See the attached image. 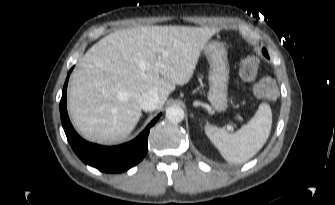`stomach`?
<instances>
[{
	"instance_id": "stomach-1",
	"label": "stomach",
	"mask_w": 335,
	"mask_h": 205,
	"mask_svg": "<svg viewBox=\"0 0 335 205\" xmlns=\"http://www.w3.org/2000/svg\"><path fill=\"white\" fill-rule=\"evenodd\" d=\"M203 51L210 64L207 99L216 111H224L227 108L229 81L226 46L222 42L211 41L205 44Z\"/></svg>"
}]
</instances>
